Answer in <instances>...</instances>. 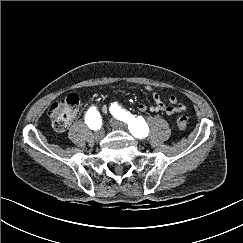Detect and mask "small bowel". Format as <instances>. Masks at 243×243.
Listing matches in <instances>:
<instances>
[{"mask_svg":"<svg viewBox=\"0 0 243 243\" xmlns=\"http://www.w3.org/2000/svg\"><path fill=\"white\" fill-rule=\"evenodd\" d=\"M145 89L149 91L152 94V97L154 99V105L147 106L144 103H140L137 108L140 112H152V113H165L167 115H173L175 113H181L186 110V106L180 102H178V99L175 95H171L169 97V103L170 105H165L162 101L160 95L153 90L151 86H146ZM105 109V108H103Z\"/></svg>","mask_w":243,"mask_h":243,"instance_id":"obj_1","label":"small bowel"}]
</instances>
